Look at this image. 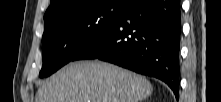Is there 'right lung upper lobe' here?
I'll return each mask as SVG.
<instances>
[{
    "label": "right lung upper lobe",
    "mask_w": 221,
    "mask_h": 102,
    "mask_svg": "<svg viewBox=\"0 0 221 102\" xmlns=\"http://www.w3.org/2000/svg\"><path fill=\"white\" fill-rule=\"evenodd\" d=\"M80 1L83 0H51V4L45 13L44 20L51 18L60 11L71 7L73 3H77Z\"/></svg>",
    "instance_id": "obj_1"
}]
</instances>
